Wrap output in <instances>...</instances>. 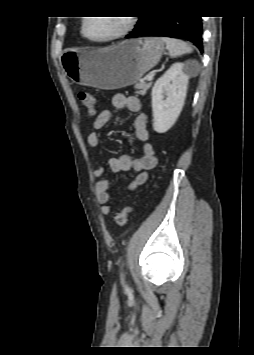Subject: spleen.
Listing matches in <instances>:
<instances>
[{"label": "spleen", "instance_id": "3e777b00", "mask_svg": "<svg viewBox=\"0 0 254 355\" xmlns=\"http://www.w3.org/2000/svg\"><path fill=\"white\" fill-rule=\"evenodd\" d=\"M161 39L164 43H166L169 56L172 58L191 53L193 51V48L182 40L168 37H162Z\"/></svg>", "mask_w": 254, "mask_h": 355}]
</instances>
